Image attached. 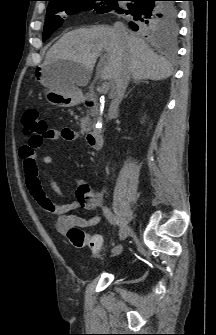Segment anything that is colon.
I'll list each match as a JSON object with an SVG mask.
<instances>
[{
    "instance_id": "5ec220e1",
    "label": "colon",
    "mask_w": 216,
    "mask_h": 335,
    "mask_svg": "<svg viewBox=\"0 0 216 335\" xmlns=\"http://www.w3.org/2000/svg\"><path fill=\"white\" fill-rule=\"evenodd\" d=\"M23 133L29 139V147L38 149L46 139L48 123L35 109L27 110L22 118ZM68 241L75 248H89L92 253L99 252L102 248V238L90 236L79 227H72L67 232Z\"/></svg>"
}]
</instances>
